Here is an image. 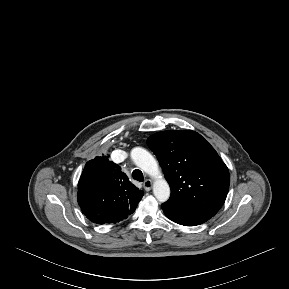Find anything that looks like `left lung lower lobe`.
Segmentation results:
<instances>
[{
	"instance_id": "left-lung-lower-lobe-1",
	"label": "left lung lower lobe",
	"mask_w": 289,
	"mask_h": 289,
	"mask_svg": "<svg viewBox=\"0 0 289 289\" xmlns=\"http://www.w3.org/2000/svg\"><path fill=\"white\" fill-rule=\"evenodd\" d=\"M162 209L170 220L184 226L199 225L212 217L206 212L170 202L163 203Z\"/></svg>"
}]
</instances>
